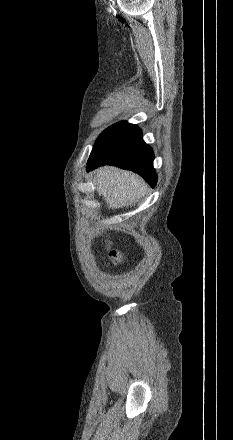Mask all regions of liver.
<instances>
[{
	"instance_id": "liver-1",
	"label": "liver",
	"mask_w": 233,
	"mask_h": 440,
	"mask_svg": "<svg viewBox=\"0 0 233 440\" xmlns=\"http://www.w3.org/2000/svg\"><path fill=\"white\" fill-rule=\"evenodd\" d=\"M96 191L109 209L133 206L144 196L147 185L138 175L104 166L95 173Z\"/></svg>"
}]
</instances>
